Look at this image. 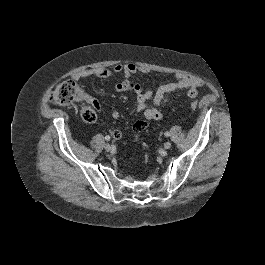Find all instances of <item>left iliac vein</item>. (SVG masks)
I'll return each mask as SVG.
<instances>
[{
	"label": "left iliac vein",
	"instance_id": "1",
	"mask_svg": "<svg viewBox=\"0 0 265 265\" xmlns=\"http://www.w3.org/2000/svg\"><path fill=\"white\" fill-rule=\"evenodd\" d=\"M171 146H172L171 142H166V143L164 144V148H165L166 150L170 149Z\"/></svg>",
	"mask_w": 265,
	"mask_h": 265
}]
</instances>
